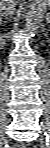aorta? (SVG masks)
<instances>
[{
  "mask_svg": "<svg viewBox=\"0 0 50 148\" xmlns=\"http://www.w3.org/2000/svg\"><path fill=\"white\" fill-rule=\"evenodd\" d=\"M46 10V4L42 0H31L26 15L27 32L33 36L37 32Z\"/></svg>",
  "mask_w": 50,
  "mask_h": 148,
  "instance_id": "762f6f07",
  "label": "aorta"
}]
</instances>
